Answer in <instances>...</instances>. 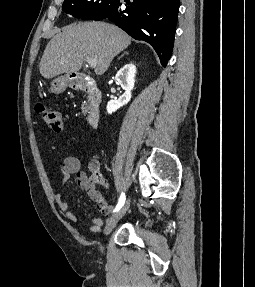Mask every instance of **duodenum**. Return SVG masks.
Here are the masks:
<instances>
[{
	"label": "duodenum",
	"instance_id": "410a0bca",
	"mask_svg": "<svg viewBox=\"0 0 255 287\" xmlns=\"http://www.w3.org/2000/svg\"><path fill=\"white\" fill-rule=\"evenodd\" d=\"M69 86L74 90L84 92L88 95L91 106L87 116V122L92 128L98 127L100 122L99 101L101 91L96 83L88 78H74L70 80Z\"/></svg>",
	"mask_w": 255,
	"mask_h": 287
}]
</instances>
